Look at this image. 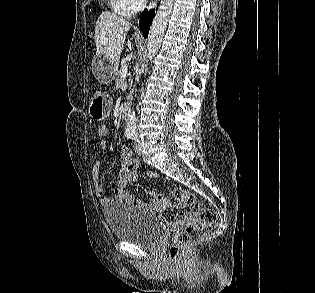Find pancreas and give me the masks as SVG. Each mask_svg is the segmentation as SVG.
I'll use <instances>...</instances> for the list:
<instances>
[{
    "instance_id": "pancreas-1",
    "label": "pancreas",
    "mask_w": 315,
    "mask_h": 293,
    "mask_svg": "<svg viewBox=\"0 0 315 293\" xmlns=\"http://www.w3.org/2000/svg\"><path fill=\"white\" fill-rule=\"evenodd\" d=\"M125 67L124 65L121 66V69ZM121 69L117 72V80H116V88H119L123 83V78L121 76Z\"/></svg>"
}]
</instances>
